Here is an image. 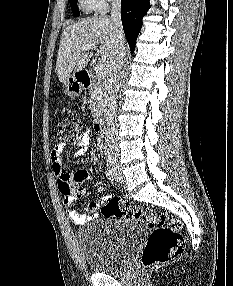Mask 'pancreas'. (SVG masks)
I'll list each match as a JSON object with an SVG mask.
<instances>
[{
  "label": "pancreas",
  "instance_id": "obj_1",
  "mask_svg": "<svg viewBox=\"0 0 233 286\" xmlns=\"http://www.w3.org/2000/svg\"><path fill=\"white\" fill-rule=\"evenodd\" d=\"M106 97L105 82L102 81L100 76H94L93 84L90 87V110L94 119H98L102 114Z\"/></svg>",
  "mask_w": 233,
  "mask_h": 286
}]
</instances>
